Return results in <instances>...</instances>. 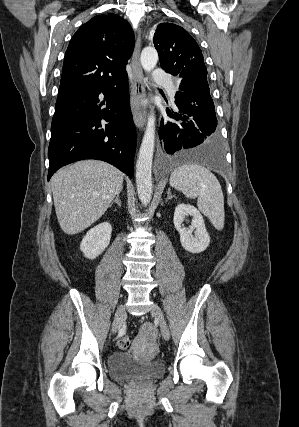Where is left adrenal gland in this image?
<instances>
[{
    "instance_id": "1",
    "label": "left adrenal gland",
    "mask_w": 299,
    "mask_h": 427,
    "mask_svg": "<svg viewBox=\"0 0 299 427\" xmlns=\"http://www.w3.org/2000/svg\"><path fill=\"white\" fill-rule=\"evenodd\" d=\"M174 196L172 195V193H171V189L170 188H168V192H167V199H166V201H168V200H170V199H172Z\"/></svg>"
}]
</instances>
